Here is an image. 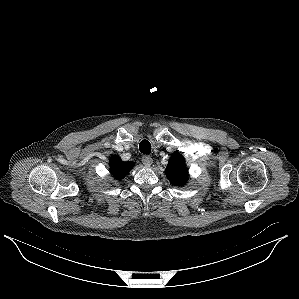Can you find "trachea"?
<instances>
[{
	"label": "trachea",
	"mask_w": 299,
	"mask_h": 299,
	"mask_svg": "<svg viewBox=\"0 0 299 299\" xmlns=\"http://www.w3.org/2000/svg\"><path fill=\"white\" fill-rule=\"evenodd\" d=\"M140 152L143 154L151 153V144L148 140H142L139 144Z\"/></svg>",
	"instance_id": "1"
}]
</instances>
